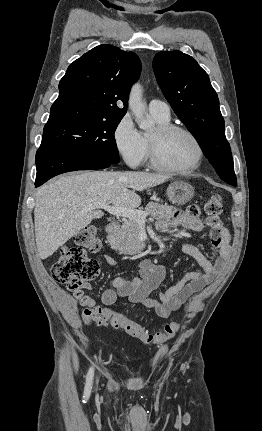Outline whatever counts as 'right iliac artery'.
I'll return each instance as SVG.
<instances>
[{
  "label": "right iliac artery",
  "instance_id": "1",
  "mask_svg": "<svg viewBox=\"0 0 262 431\" xmlns=\"http://www.w3.org/2000/svg\"><path fill=\"white\" fill-rule=\"evenodd\" d=\"M93 375H94V370L91 367L89 369V372H88L87 377H86V388H85V392H84V398H86V399H88L89 395H90Z\"/></svg>",
  "mask_w": 262,
  "mask_h": 431
}]
</instances>
